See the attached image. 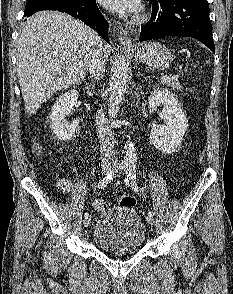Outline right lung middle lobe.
Returning <instances> with one entry per match:
<instances>
[{
  "label": "right lung middle lobe",
  "mask_w": 233,
  "mask_h": 294,
  "mask_svg": "<svg viewBox=\"0 0 233 294\" xmlns=\"http://www.w3.org/2000/svg\"><path fill=\"white\" fill-rule=\"evenodd\" d=\"M61 1H73V0H28L25 6L24 16L33 12L34 10H37L38 8L56 3Z\"/></svg>",
  "instance_id": "1"
}]
</instances>
